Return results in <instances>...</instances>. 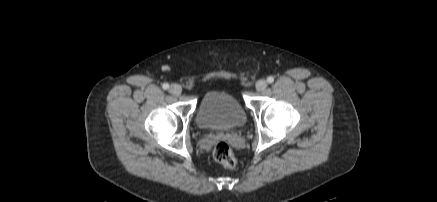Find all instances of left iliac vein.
Listing matches in <instances>:
<instances>
[{
    "instance_id": "1",
    "label": "left iliac vein",
    "mask_w": 437,
    "mask_h": 202,
    "mask_svg": "<svg viewBox=\"0 0 437 202\" xmlns=\"http://www.w3.org/2000/svg\"><path fill=\"white\" fill-rule=\"evenodd\" d=\"M266 87H267L266 80L261 79V80L257 81V83H256V90L257 91H259V92L264 91L266 89Z\"/></svg>"
}]
</instances>
